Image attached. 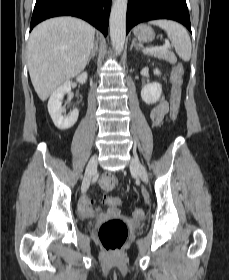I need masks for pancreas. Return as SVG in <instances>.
<instances>
[{
    "mask_svg": "<svg viewBox=\"0 0 229 280\" xmlns=\"http://www.w3.org/2000/svg\"><path fill=\"white\" fill-rule=\"evenodd\" d=\"M149 55L154 56L159 59H163L168 61L171 64H175L177 62V58L175 57L172 51L162 50V51H154L149 53Z\"/></svg>",
    "mask_w": 229,
    "mask_h": 280,
    "instance_id": "1",
    "label": "pancreas"
}]
</instances>
